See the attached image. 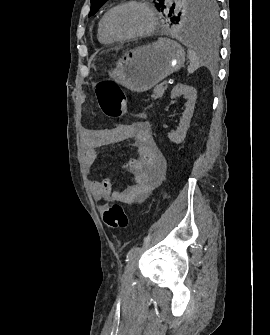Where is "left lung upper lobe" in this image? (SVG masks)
I'll list each match as a JSON object with an SVG mask.
<instances>
[{
  "label": "left lung upper lobe",
  "mask_w": 270,
  "mask_h": 335,
  "mask_svg": "<svg viewBox=\"0 0 270 335\" xmlns=\"http://www.w3.org/2000/svg\"><path fill=\"white\" fill-rule=\"evenodd\" d=\"M107 0H91L89 17L94 15ZM158 11L165 12L168 19L185 30L217 31L218 10L215 0H177L173 4L158 0Z\"/></svg>",
  "instance_id": "5c2ea615"
}]
</instances>
